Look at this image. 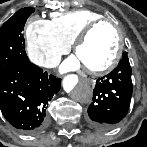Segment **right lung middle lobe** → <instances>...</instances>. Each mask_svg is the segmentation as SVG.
<instances>
[{"label":"right lung middle lobe","instance_id":"obj_1","mask_svg":"<svg viewBox=\"0 0 147 147\" xmlns=\"http://www.w3.org/2000/svg\"><path fill=\"white\" fill-rule=\"evenodd\" d=\"M33 12L31 7L23 8L0 28V75L20 64L30 62L25 52L22 31L27 18Z\"/></svg>","mask_w":147,"mask_h":147}]
</instances>
